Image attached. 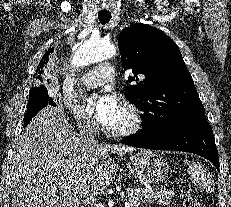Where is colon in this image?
Segmentation results:
<instances>
[{"mask_svg":"<svg viewBox=\"0 0 231 207\" xmlns=\"http://www.w3.org/2000/svg\"><path fill=\"white\" fill-rule=\"evenodd\" d=\"M183 207H202L201 203L189 192L183 194Z\"/></svg>","mask_w":231,"mask_h":207,"instance_id":"obj_1","label":"colon"}]
</instances>
